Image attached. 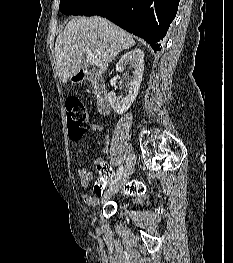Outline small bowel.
<instances>
[{
	"label": "small bowel",
	"mask_w": 233,
	"mask_h": 263,
	"mask_svg": "<svg viewBox=\"0 0 233 263\" xmlns=\"http://www.w3.org/2000/svg\"><path fill=\"white\" fill-rule=\"evenodd\" d=\"M90 129L92 132H100L104 135V143L102 150L104 153L108 152L110 146V130L104 124L94 122ZM94 165L97 167L98 171H111L110 167L104 162L102 158H97L94 161ZM78 174L80 177V184L82 187L86 188L89 186L90 182L93 180V173L89 171L87 168L78 169ZM106 184V183H103ZM102 195H90L83 194L82 199L87 206L93 207L98 204V197Z\"/></svg>",
	"instance_id": "obj_1"
}]
</instances>
